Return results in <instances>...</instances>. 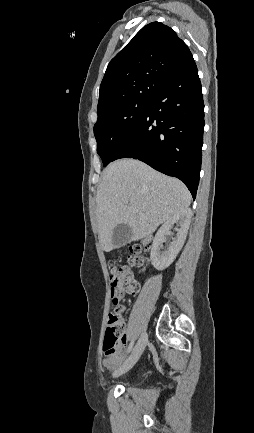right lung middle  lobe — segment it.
I'll use <instances>...</instances> for the list:
<instances>
[{
	"label": "right lung middle lobe",
	"instance_id": "1",
	"mask_svg": "<svg viewBox=\"0 0 254 433\" xmlns=\"http://www.w3.org/2000/svg\"><path fill=\"white\" fill-rule=\"evenodd\" d=\"M151 99H130L97 111L94 125L97 152L107 166L124 138L145 113Z\"/></svg>",
	"mask_w": 254,
	"mask_h": 433
}]
</instances>
